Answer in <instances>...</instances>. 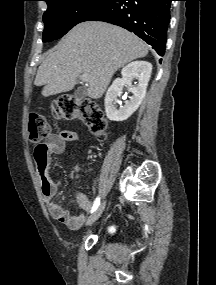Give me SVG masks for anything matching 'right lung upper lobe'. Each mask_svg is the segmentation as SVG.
I'll use <instances>...</instances> for the list:
<instances>
[{"mask_svg": "<svg viewBox=\"0 0 216 285\" xmlns=\"http://www.w3.org/2000/svg\"><path fill=\"white\" fill-rule=\"evenodd\" d=\"M46 2H49V1H51V0H45Z\"/></svg>", "mask_w": 216, "mask_h": 285, "instance_id": "1", "label": "right lung upper lobe"}]
</instances>
